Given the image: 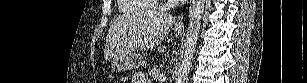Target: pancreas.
I'll return each mask as SVG.
<instances>
[{
    "instance_id": "1",
    "label": "pancreas",
    "mask_w": 307,
    "mask_h": 83,
    "mask_svg": "<svg viewBox=\"0 0 307 83\" xmlns=\"http://www.w3.org/2000/svg\"><path fill=\"white\" fill-rule=\"evenodd\" d=\"M160 75H162V70L157 67H154L149 71V76L153 77L154 79H158Z\"/></svg>"
}]
</instances>
